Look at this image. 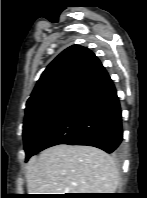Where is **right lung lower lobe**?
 Masks as SVG:
<instances>
[{"label":"right lung lower lobe","instance_id":"right-lung-lower-lobe-1","mask_svg":"<svg viewBox=\"0 0 147 198\" xmlns=\"http://www.w3.org/2000/svg\"><path fill=\"white\" fill-rule=\"evenodd\" d=\"M123 139L119 99L109 75L75 102L42 139L35 154L54 145H88L120 153Z\"/></svg>","mask_w":147,"mask_h":198}]
</instances>
